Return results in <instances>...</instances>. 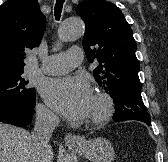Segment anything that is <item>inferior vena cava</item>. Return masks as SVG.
Masks as SVG:
<instances>
[{
  "label": "inferior vena cava",
  "mask_w": 168,
  "mask_h": 162,
  "mask_svg": "<svg viewBox=\"0 0 168 162\" xmlns=\"http://www.w3.org/2000/svg\"><path fill=\"white\" fill-rule=\"evenodd\" d=\"M58 124L59 119L54 113L46 109L36 110V122L30 137L29 162L43 161V155L50 148L49 141Z\"/></svg>",
  "instance_id": "602c4592"
}]
</instances>
